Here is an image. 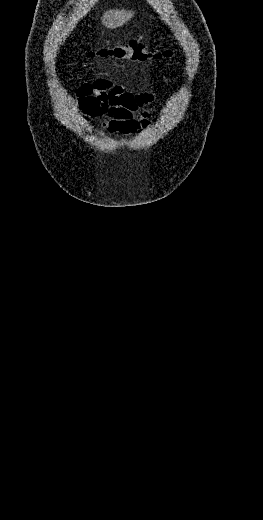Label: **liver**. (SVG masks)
Returning <instances> with one entry per match:
<instances>
[{
	"label": "liver",
	"mask_w": 263,
	"mask_h": 520,
	"mask_svg": "<svg viewBox=\"0 0 263 520\" xmlns=\"http://www.w3.org/2000/svg\"><path fill=\"white\" fill-rule=\"evenodd\" d=\"M134 16L133 11L127 10H109L104 13L102 16V23L105 27L109 29H114L124 25L127 21H129Z\"/></svg>",
	"instance_id": "obj_1"
}]
</instances>
